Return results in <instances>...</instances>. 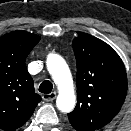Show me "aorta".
<instances>
[{
  "label": "aorta",
  "instance_id": "aorta-1",
  "mask_svg": "<svg viewBox=\"0 0 131 131\" xmlns=\"http://www.w3.org/2000/svg\"><path fill=\"white\" fill-rule=\"evenodd\" d=\"M46 63L47 69L59 91L56 100L57 108L68 113L73 110L76 100L69 67L65 60L57 54H50Z\"/></svg>",
  "mask_w": 131,
  "mask_h": 131
}]
</instances>
